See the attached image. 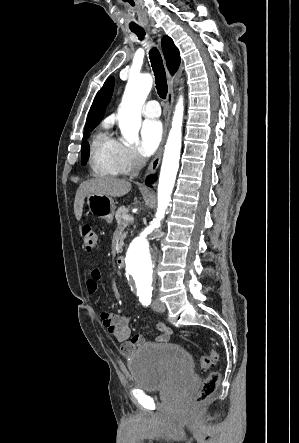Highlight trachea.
I'll use <instances>...</instances> for the list:
<instances>
[{"mask_svg": "<svg viewBox=\"0 0 299 443\" xmlns=\"http://www.w3.org/2000/svg\"><path fill=\"white\" fill-rule=\"evenodd\" d=\"M132 32L135 33L140 40L145 36V31L143 29L132 30ZM149 58L155 76L157 93L162 99H165L168 93V85L161 54L155 47H153L149 52Z\"/></svg>", "mask_w": 299, "mask_h": 443, "instance_id": "3493384b", "label": "trachea"}]
</instances>
